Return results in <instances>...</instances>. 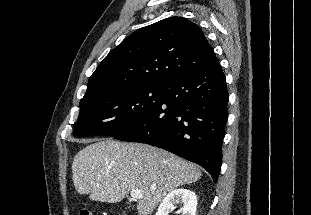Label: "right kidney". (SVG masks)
<instances>
[{
	"instance_id": "obj_1",
	"label": "right kidney",
	"mask_w": 311,
	"mask_h": 215,
	"mask_svg": "<svg viewBox=\"0 0 311 215\" xmlns=\"http://www.w3.org/2000/svg\"><path fill=\"white\" fill-rule=\"evenodd\" d=\"M182 204L181 215H196L197 196L184 188H179L169 192L162 200L155 215H168L174 205Z\"/></svg>"
}]
</instances>
